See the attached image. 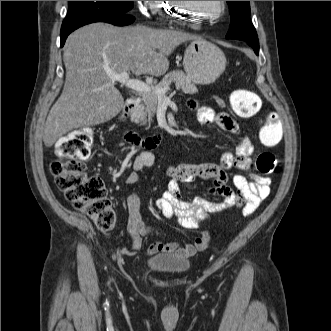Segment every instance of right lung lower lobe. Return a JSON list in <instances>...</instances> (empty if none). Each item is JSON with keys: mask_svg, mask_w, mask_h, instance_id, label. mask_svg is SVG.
<instances>
[{"mask_svg": "<svg viewBox=\"0 0 331 331\" xmlns=\"http://www.w3.org/2000/svg\"><path fill=\"white\" fill-rule=\"evenodd\" d=\"M135 18L133 16L130 15H121V16H113V17H103V18H99L96 20H93L91 22L79 25L77 27H74L64 33H61V47L64 45L65 40L67 38V36L74 30H76L77 28L86 25V24H90L93 22H106V23H110L116 26H126L131 24L132 22H134Z\"/></svg>", "mask_w": 331, "mask_h": 331, "instance_id": "obj_1", "label": "right lung lower lobe"}]
</instances>
